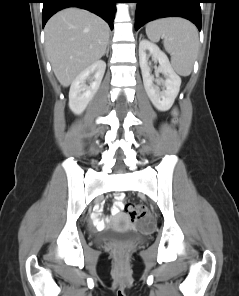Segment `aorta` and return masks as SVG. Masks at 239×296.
<instances>
[{"mask_svg":"<svg viewBox=\"0 0 239 296\" xmlns=\"http://www.w3.org/2000/svg\"><path fill=\"white\" fill-rule=\"evenodd\" d=\"M129 5L131 8L135 7V3H129Z\"/></svg>","mask_w":239,"mask_h":296,"instance_id":"obj_1","label":"aorta"}]
</instances>
